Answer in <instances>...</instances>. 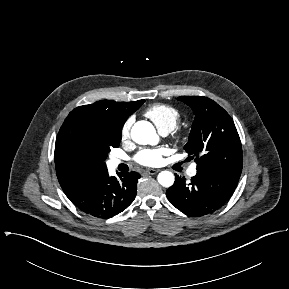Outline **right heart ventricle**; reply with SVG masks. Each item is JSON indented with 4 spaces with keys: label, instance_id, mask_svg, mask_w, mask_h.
<instances>
[{
    "label": "right heart ventricle",
    "instance_id": "right-heart-ventricle-1",
    "mask_svg": "<svg viewBox=\"0 0 289 289\" xmlns=\"http://www.w3.org/2000/svg\"><path fill=\"white\" fill-rule=\"evenodd\" d=\"M144 115L156 125L161 133L173 131L181 120V113L177 108L162 103L149 106Z\"/></svg>",
    "mask_w": 289,
    "mask_h": 289
}]
</instances>
